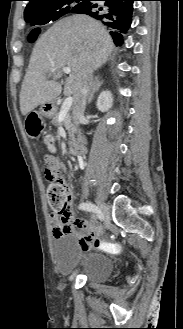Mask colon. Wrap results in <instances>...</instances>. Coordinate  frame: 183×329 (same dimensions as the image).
<instances>
[{"mask_svg": "<svg viewBox=\"0 0 183 329\" xmlns=\"http://www.w3.org/2000/svg\"><path fill=\"white\" fill-rule=\"evenodd\" d=\"M32 31L27 32V37L23 38V43L28 44L29 49H36L39 43V32H45V25H32ZM45 143L52 147L54 138L48 135L45 138ZM47 179L50 181L48 187V201L52 214L64 219L69 213V205L71 200L70 190L62 179V172L59 169H55L48 162L45 170ZM97 245H101L99 239L96 240ZM107 248L117 251L118 248L113 245H107Z\"/></svg>", "mask_w": 183, "mask_h": 329, "instance_id": "1", "label": "colon"}]
</instances>
